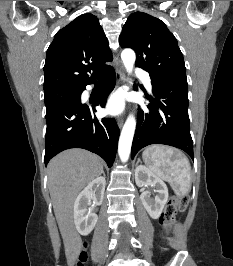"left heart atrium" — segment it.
<instances>
[{
	"instance_id": "1",
	"label": "left heart atrium",
	"mask_w": 233,
	"mask_h": 266,
	"mask_svg": "<svg viewBox=\"0 0 233 266\" xmlns=\"http://www.w3.org/2000/svg\"><path fill=\"white\" fill-rule=\"evenodd\" d=\"M125 108V97L121 92L113 93L107 100L106 112L110 115H119Z\"/></svg>"
}]
</instances>
